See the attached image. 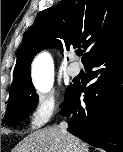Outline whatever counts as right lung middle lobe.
I'll use <instances>...</instances> for the list:
<instances>
[{
  "mask_svg": "<svg viewBox=\"0 0 123 152\" xmlns=\"http://www.w3.org/2000/svg\"><path fill=\"white\" fill-rule=\"evenodd\" d=\"M73 88L74 85L68 86L65 93V100ZM37 102L38 96L35 93L32 83L23 86L10 95L9 105L4 117V123L6 125H14L27 118L29 112L35 110Z\"/></svg>",
  "mask_w": 123,
  "mask_h": 152,
  "instance_id": "right-lung-middle-lobe-1",
  "label": "right lung middle lobe"
}]
</instances>
